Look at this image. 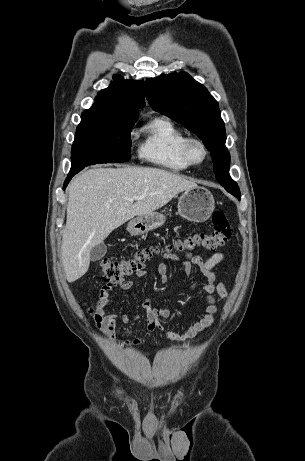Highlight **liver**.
<instances>
[{
  "mask_svg": "<svg viewBox=\"0 0 305 461\" xmlns=\"http://www.w3.org/2000/svg\"><path fill=\"white\" fill-rule=\"evenodd\" d=\"M197 187L181 176L156 168L90 169L69 186L62 262L68 282L82 277L91 249L134 216L149 214L178 193ZM142 196L135 203L130 199Z\"/></svg>",
  "mask_w": 305,
  "mask_h": 461,
  "instance_id": "obj_1",
  "label": "liver"
}]
</instances>
